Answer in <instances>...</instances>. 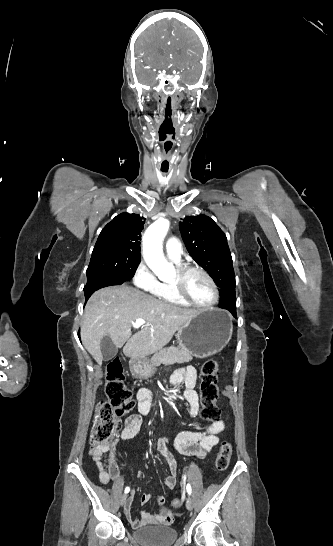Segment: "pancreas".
Listing matches in <instances>:
<instances>
[{
  "label": "pancreas",
  "instance_id": "cf45deb5",
  "mask_svg": "<svg viewBox=\"0 0 333 546\" xmlns=\"http://www.w3.org/2000/svg\"><path fill=\"white\" fill-rule=\"evenodd\" d=\"M192 354L179 348H164L154 353L150 362L154 367L164 365L182 364L192 361Z\"/></svg>",
  "mask_w": 333,
  "mask_h": 546
}]
</instances>
